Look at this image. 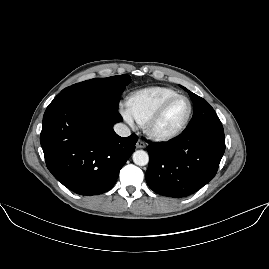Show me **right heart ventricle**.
I'll return each instance as SVG.
<instances>
[{
    "label": "right heart ventricle",
    "instance_id": "e07e8e85",
    "mask_svg": "<svg viewBox=\"0 0 269 269\" xmlns=\"http://www.w3.org/2000/svg\"><path fill=\"white\" fill-rule=\"evenodd\" d=\"M178 93L166 87H151L131 93L126 101L127 111L132 119L144 126L147 119L167 99Z\"/></svg>",
    "mask_w": 269,
    "mask_h": 269
}]
</instances>
